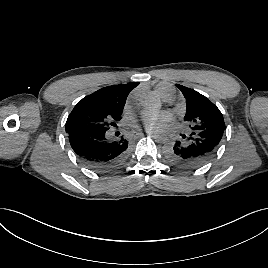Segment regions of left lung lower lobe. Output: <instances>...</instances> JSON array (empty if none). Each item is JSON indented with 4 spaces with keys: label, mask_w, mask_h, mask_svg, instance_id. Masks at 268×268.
I'll use <instances>...</instances> for the list:
<instances>
[{
    "label": "left lung lower lobe",
    "mask_w": 268,
    "mask_h": 268,
    "mask_svg": "<svg viewBox=\"0 0 268 268\" xmlns=\"http://www.w3.org/2000/svg\"><path fill=\"white\" fill-rule=\"evenodd\" d=\"M223 133L221 129L192 132L186 141H176L171 159L185 169L201 167L215 155Z\"/></svg>",
    "instance_id": "obj_1"
}]
</instances>
